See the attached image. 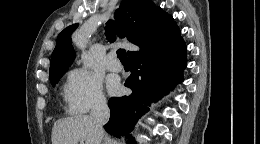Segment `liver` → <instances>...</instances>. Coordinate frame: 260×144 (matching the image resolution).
<instances>
[{"mask_svg":"<svg viewBox=\"0 0 260 144\" xmlns=\"http://www.w3.org/2000/svg\"><path fill=\"white\" fill-rule=\"evenodd\" d=\"M100 135L90 116L76 115L59 119L52 129V144H100Z\"/></svg>","mask_w":260,"mask_h":144,"instance_id":"6515ba94","label":"liver"}]
</instances>
